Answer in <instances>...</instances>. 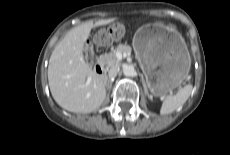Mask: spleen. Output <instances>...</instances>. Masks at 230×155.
<instances>
[{
    "instance_id": "1",
    "label": "spleen",
    "mask_w": 230,
    "mask_h": 155,
    "mask_svg": "<svg viewBox=\"0 0 230 155\" xmlns=\"http://www.w3.org/2000/svg\"><path fill=\"white\" fill-rule=\"evenodd\" d=\"M192 88V85L189 84L181 88L176 95L167 96L162 103L160 114H170L177 110L179 107L183 106V104L188 100Z\"/></svg>"
}]
</instances>
